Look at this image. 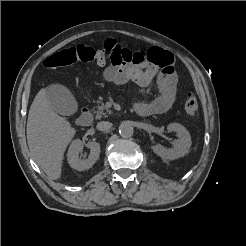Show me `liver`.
Here are the masks:
<instances>
[{
  "label": "liver",
  "mask_w": 246,
  "mask_h": 246,
  "mask_svg": "<svg viewBox=\"0 0 246 246\" xmlns=\"http://www.w3.org/2000/svg\"><path fill=\"white\" fill-rule=\"evenodd\" d=\"M75 133L70 122L53 111L42 88L30 106L26 134L32 158L50 179L61 177L64 152Z\"/></svg>",
  "instance_id": "6515ba94"
}]
</instances>
